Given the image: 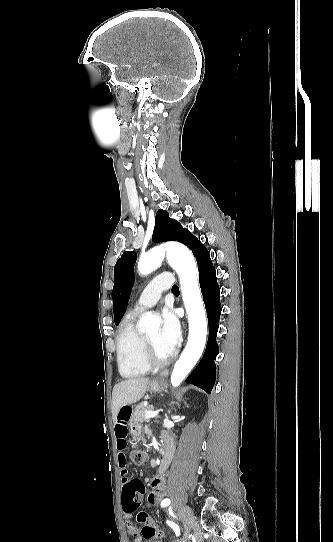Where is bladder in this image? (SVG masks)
I'll list each match as a JSON object with an SVG mask.
<instances>
[{"label": "bladder", "mask_w": 333, "mask_h": 542, "mask_svg": "<svg viewBox=\"0 0 333 542\" xmlns=\"http://www.w3.org/2000/svg\"><path fill=\"white\" fill-rule=\"evenodd\" d=\"M146 542H165V541H146Z\"/></svg>", "instance_id": "31cf9c89"}]
</instances>
